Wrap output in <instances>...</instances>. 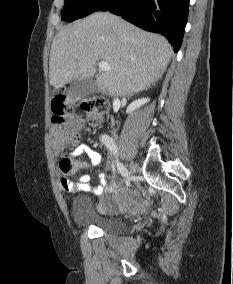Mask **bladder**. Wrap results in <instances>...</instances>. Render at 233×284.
<instances>
[{
    "label": "bladder",
    "instance_id": "obj_1",
    "mask_svg": "<svg viewBox=\"0 0 233 284\" xmlns=\"http://www.w3.org/2000/svg\"><path fill=\"white\" fill-rule=\"evenodd\" d=\"M111 198L116 202L131 203L135 201V195L131 191L117 193ZM71 214L77 225L96 227L106 234L117 235L124 233L126 230V224L122 220L97 213L91 199L83 194L73 198Z\"/></svg>",
    "mask_w": 233,
    "mask_h": 284
}]
</instances>
